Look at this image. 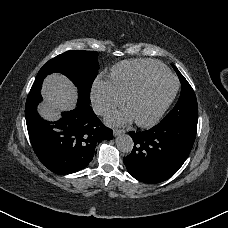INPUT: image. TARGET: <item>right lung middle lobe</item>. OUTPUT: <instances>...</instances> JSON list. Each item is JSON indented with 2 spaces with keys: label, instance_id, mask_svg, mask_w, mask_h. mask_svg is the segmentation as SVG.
<instances>
[{
  "label": "right lung middle lobe",
  "instance_id": "obj_1",
  "mask_svg": "<svg viewBox=\"0 0 228 228\" xmlns=\"http://www.w3.org/2000/svg\"><path fill=\"white\" fill-rule=\"evenodd\" d=\"M95 51L70 50L49 60L39 71L32 90H40L43 79L58 72L67 76L78 89V102L90 104V90L97 76L99 64Z\"/></svg>",
  "mask_w": 228,
  "mask_h": 228
}]
</instances>
